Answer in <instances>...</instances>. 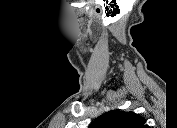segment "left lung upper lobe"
<instances>
[{
	"label": "left lung upper lobe",
	"mask_w": 177,
	"mask_h": 128,
	"mask_svg": "<svg viewBox=\"0 0 177 128\" xmlns=\"http://www.w3.org/2000/svg\"><path fill=\"white\" fill-rule=\"evenodd\" d=\"M93 128H147L146 121L134 112L112 110L99 116Z\"/></svg>",
	"instance_id": "left-lung-upper-lobe-1"
}]
</instances>
